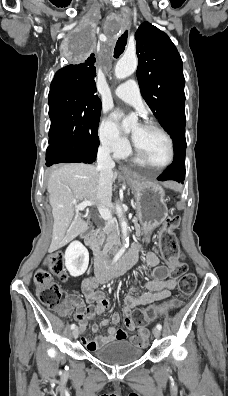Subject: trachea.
Returning a JSON list of instances; mask_svg holds the SVG:
<instances>
[{
  "mask_svg": "<svg viewBox=\"0 0 228 396\" xmlns=\"http://www.w3.org/2000/svg\"><path fill=\"white\" fill-rule=\"evenodd\" d=\"M128 31L126 30L117 40L115 49H114V57L118 58L125 50V46L127 44Z\"/></svg>",
  "mask_w": 228,
  "mask_h": 396,
  "instance_id": "obj_1",
  "label": "trachea"
}]
</instances>
